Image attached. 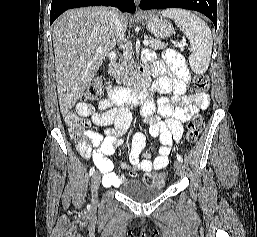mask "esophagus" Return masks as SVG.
<instances>
[{"label":"esophagus","instance_id":"obj_1","mask_svg":"<svg viewBox=\"0 0 257 237\" xmlns=\"http://www.w3.org/2000/svg\"><path fill=\"white\" fill-rule=\"evenodd\" d=\"M139 3H140V0H135V4L137 7L139 6Z\"/></svg>","mask_w":257,"mask_h":237}]
</instances>
